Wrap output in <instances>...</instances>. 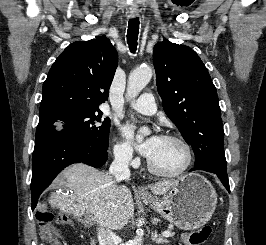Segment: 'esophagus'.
Segmentation results:
<instances>
[{"label":"esophagus","mask_w":266,"mask_h":245,"mask_svg":"<svg viewBox=\"0 0 266 245\" xmlns=\"http://www.w3.org/2000/svg\"><path fill=\"white\" fill-rule=\"evenodd\" d=\"M138 15V12H134V13H130V16L133 18V17H136ZM138 193L140 194V195H145V190H144V188H142V187H139L138 188Z\"/></svg>","instance_id":"esophagus-1"}]
</instances>
